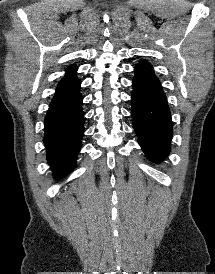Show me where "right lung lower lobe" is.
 I'll return each instance as SVG.
<instances>
[{
    "label": "right lung lower lobe",
    "mask_w": 215,
    "mask_h": 274,
    "mask_svg": "<svg viewBox=\"0 0 215 274\" xmlns=\"http://www.w3.org/2000/svg\"><path fill=\"white\" fill-rule=\"evenodd\" d=\"M79 89L59 101L51 102L45 118L44 144L55 178L68 174L74 168L81 148L84 114Z\"/></svg>",
    "instance_id": "1"
}]
</instances>
